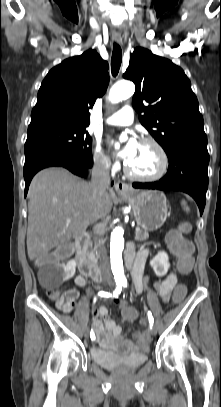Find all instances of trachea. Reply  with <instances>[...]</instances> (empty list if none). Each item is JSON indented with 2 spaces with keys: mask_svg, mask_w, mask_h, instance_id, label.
Returning <instances> with one entry per match:
<instances>
[{
  "mask_svg": "<svg viewBox=\"0 0 221 407\" xmlns=\"http://www.w3.org/2000/svg\"><path fill=\"white\" fill-rule=\"evenodd\" d=\"M122 62V51L117 43L113 45V52L111 58V72L114 77L117 76Z\"/></svg>",
  "mask_w": 221,
  "mask_h": 407,
  "instance_id": "obj_1",
  "label": "trachea"
}]
</instances>
